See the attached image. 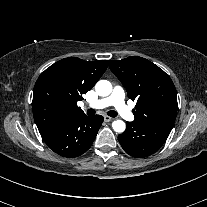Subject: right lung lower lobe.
Returning a JSON list of instances; mask_svg holds the SVG:
<instances>
[{
	"label": "right lung lower lobe",
	"instance_id": "1",
	"mask_svg": "<svg viewBox=\"0 0 207 207\" xmlns=\"http://www.w3.org/2000/svg\"><path fill=\"white\" fill-rule=\"evenodd\" d=\"M102 122L101 115L88 117L82 114L61 121L40 134L55 153L74 158L91 147Z\"/></svg>",
	"mask_w": 207,
	"mask_h": 207
}]
</instances>
